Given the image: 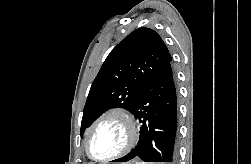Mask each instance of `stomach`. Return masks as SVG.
<instances>
[{
	"label": "stomach",
	"mask_w": 251,
	"mask_h": 164,
	"mask_svg": "<svg viewBox=\"0 0 251 164\" xmlns=\"http://www.w3.org/2000/svg\"><path fill=\"white\" fill-rule=\"evenodd\" d=\"M129 164H142V162H135V163H129Z\"/></svg>",
	"instance_id": "stomach-1"
}]
</instances>
